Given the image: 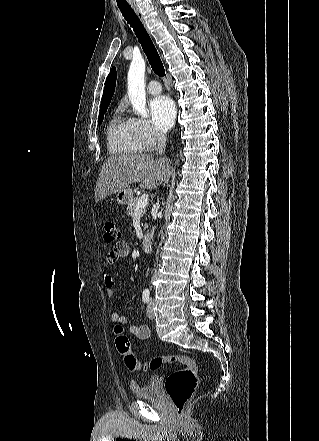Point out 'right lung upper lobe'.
<instances>
[{
  "label": "right lung upper lobe",
  "instance_id": "cb5924a9",
  "mask_svg": "<svg viewBox=\"0 0 319 441\" xmlns=\"http://www.w3.org/2000/svg\"><path fill=\"white\" fill-rule=\"evenodd\" d=\"M115 84H116V68L113 67L110 70V73L106 79L104 92L102 96L101 109L109 106L115 91Z\"/></svg>",
  "mask_w": 319,
  "mask_h": 441
}]
</instances>
